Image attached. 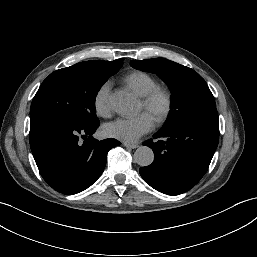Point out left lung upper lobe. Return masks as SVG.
I'll use <instances>...</instances> for the list:
<instances>
[{
	"instance_id": "left-lung-upper-lobe-1",
	"label": "left lung upper lobe",
	"mask_w": 257,
	"mask_h": 257,
	"mask_svg": "<svg viewBox=\"0 0 257 257\" xmlns=\"http://www.w3.org/2000/svg\"><path fill=\"white\" fill-rule=\"evenodd\" d=\"M131 66L156 73L172 91V110L163 127H168L200 112L216 109L205 80L193 69L165 58L132 60Z\"/></svg>"
}]
</instances>
